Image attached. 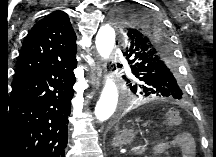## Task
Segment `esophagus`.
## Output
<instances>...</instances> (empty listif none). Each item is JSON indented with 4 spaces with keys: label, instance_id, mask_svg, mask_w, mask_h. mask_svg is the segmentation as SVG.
<instances>
[{
    "label": "esophagus",
    "instance_id": "esophagus-1",
    "mask_svg": "<svg viewBox=\"0 0 216 157\" xmlns=\"http://www.w3.org/2000/svg\"><path fill=\"white\" fill-rule=\"evenodd\" d=\"M101 66V67H100ZM100 66H98V68H97V75L99 76V77H101V73H102V64H100Z\"/></svg>",
    "mask_w": 216,
    "mask_h": 157
}]
</instances>
